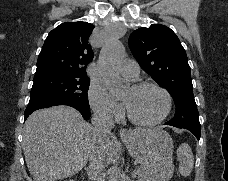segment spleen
Here are the masks:
<instances>
[{
  "label": "spleen",
  "instance_id": "3e777b00",
  "mask_svg": "<svg viewBox=\"0 0 228 181\" xmlns=\"http://www.w3.org/2000/svg\"><path fill=\"white\" fill-rule=\"evenodd\" d=\"M177 157L179 161L180 175H182V177H189L192 173L194 157L187 143H182L179 149H177Z\"/></svg>",
  "mask_w": 228,
  "mask_h": 181
}]
</instances>
